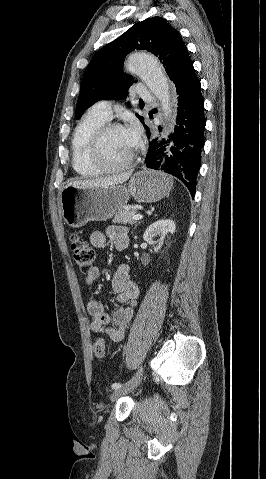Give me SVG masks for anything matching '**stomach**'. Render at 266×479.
I'll return each mask as SVG.
<instances>
[{"label": "stomach", "instance_id": "0dacf381", "mask_svg": "<svg viewBox=\"0 0 266 479\" xmlns=\"http://www.w3.org/2000/svg\"><path fill=\"white\" fill-rule=\"evenodd\" d=\"M172 185L168 175L144 169L131 177L127 187L67 186L60 198L62 217L68 226L74 228L90 221H106L127 204L130 196L142 203L156 202L169 194Z\"/></svg>", "mask_w": 266, "mask_h": 479}]
</instances>
